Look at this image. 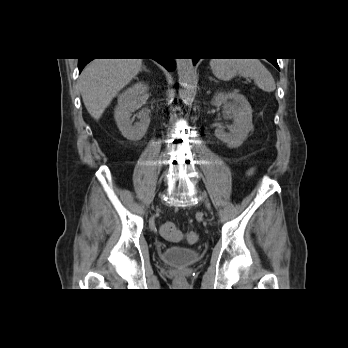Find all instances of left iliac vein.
Here are the masks:
<instances>
[{
    "label": "left iliac vein",
    "instance_id": "1",
    "mask_svg": "<svg viewBox=\"0 0 348 348\" xmlns=\"http://www.w3.org/2000/svg\"><path fill=\"white\" fill-rule=\"evenodd\" d=\"M202 197H203V200H204V203H205L206 208H207L208 210H210V209H211V206H210V203H209L208 199L206 198L205 195H202Z\"/></svg>",
    "mask_w": 348,
    "mask_h": 348
}]
</instances>
